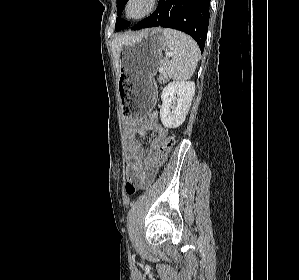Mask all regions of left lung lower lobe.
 <instances>
[{"label":"left lung lower lobe","instance_id":"0a47b994","mask_svg":"<svg viewBox=\"0 0 299 280\" xmlns=\"http://www.w3.org/2000/svg\"><path fill=\"white\" fill-rule=\"evenodd\" d=\"M210 0H159L157 10L132 30L167 27L191 35L204 51L210 17Z\"/></svg>","mask_w":299,"mask_h":280}]
</instances>
